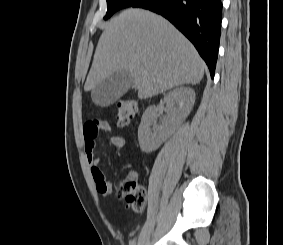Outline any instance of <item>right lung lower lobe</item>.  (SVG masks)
<instances>
[{
	"instance_id": "1",
	"label": "right lung lower lobe",
	"mask_w": 283,
	"mask_h": 245,
	"mask_svg": "<svg viewBox=\"0 0 283 245\" xmlns=\"http://www.w3.org/2000/svg\"><path fill=\"white\" fill-rule=\"evenodd\" d=\"M132 7L167 18L196 47L214 77L222 19L221 0H140Z\"/></svg>"
}]
</instances>
